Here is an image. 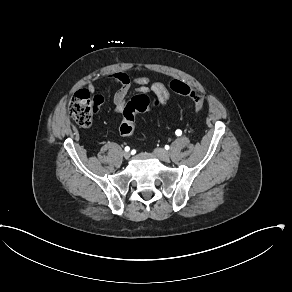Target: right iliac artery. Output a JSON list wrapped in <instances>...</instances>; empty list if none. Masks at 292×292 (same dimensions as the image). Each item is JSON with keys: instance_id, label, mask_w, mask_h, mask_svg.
Returning <instances> with one entry per match:
<instances>
[{"instance_id": "1", "label": "right iliac artery", "mask_w": 292, "mask_h": 292, "mask_svg": "<svg viewBox=\"0 0 292 292\" xmlns=\"http://www.w3.org/2000/svg\"><path fill=\"white\" fill-rule=\"evenodd\" d=\"M129 150H130V148H129L128 146H126V147H125V151L128 152Z\"/></svg>"}]
</instances>
